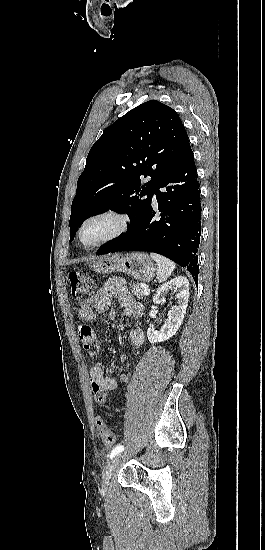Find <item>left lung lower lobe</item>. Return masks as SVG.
I'll return each instance as SVG.
<instances>
[{"instance_id": "0a47b994", "label": "left lung lower lobe", "mask_w": 265, "mask_h": 550, "mask_svg": "<svg viewBox=\"0 0 265 550\" xmlns=\"http://www.w3.org/2000/svg\"><path fill=\"white\" fill-rule=\"evenodd\" d=\"M157 189H160L155 192L160 218L150 205L133 229L117 241L101 246L97 255L129 250L155 252L185 267L197 283L201 203L190 144L166 172Z\"/></svg>"}]
</instances>
